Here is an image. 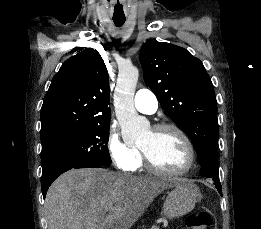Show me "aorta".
<instances>
[{
    "label": "aorta",
    "instance_id": "762f6f07",
    "mask_svg": "<svg viewBox=\"0 0 261 229\" xmlns=\"http://www.w3.org/2000/svg\"><path fill=\"white\" fill-rule=\"evenodd\" d=\"M139 76L136 66H121L114 92L116 119L122 133H129L135 141H142L146 135H151L150 123L145 117H140L134 106V92Z\"/></svg>",
    "mask_w": 261,
    "mask_h": 229
}]
</instances>
